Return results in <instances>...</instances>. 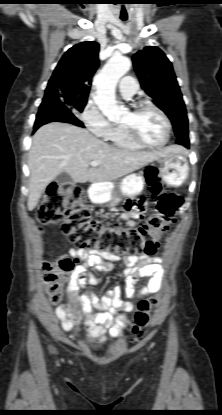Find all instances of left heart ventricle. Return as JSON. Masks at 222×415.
<instances>
[{
    "mask_svg": "<svg viewBox=\"0 0 222 415\" xmlns=\"http://www.w3.org/2000/svg\"><path fill=\"white\" fill-rule=\"evenodd\" d=\"M122 124H132L141 138L148 143H161L166 135V125L162 117L153 109L146 108L138 114L128 111Z\"/></svg>",
    "mask_w": 222,
    "mask_h": 415,
    "instance_id": "1",
    "label": "left heart ventricle"
}]
</instances>
